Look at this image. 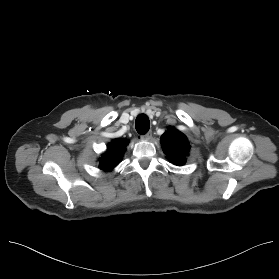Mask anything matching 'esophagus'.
<instances>
[{"instance_id":"34e87169","label":"esophagus","mask_w":279,"mask_h":279,"mask_svg":"<svg viewBox=\"0 0 279 279\" xmlns=\"http://www.w3.org/2000/svg\"><path fill=\"white\" fill-rule=\"evenodd\" d=\"M151 137H152V131H149V132H147L146 134L141 135V136H140V139H141V140H150Z\"/></svg>"}]
</instances>
